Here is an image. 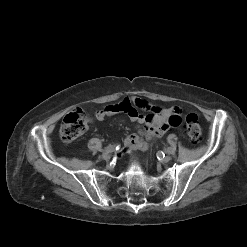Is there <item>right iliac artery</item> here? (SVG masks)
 Listing matches in <instances>:
<instances>
[{
    "mask_svg": "<svg viewBox=\"0 0 247 247\" xmlns=\"http://www.w3.org/2000/svg\"><path fill=\"white\" fill-rule=\"evenodd\" d=\"M119 148V145H109L104 148V152H112L113 150H117Z\"/></svg>",
    "mask_w": 247,
    "mask_h": 247,
    "instance_id": "1",
    "label": "right iliac artery"
}]
</instances>
